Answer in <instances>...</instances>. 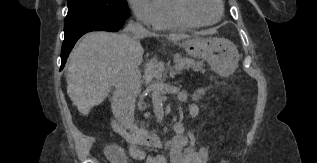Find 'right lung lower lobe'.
Listing matches in <instances>:
<instances>
[{"mask_svg": "<svg viewBox=\"0 0 317 163\" xmlns=\"http://www.w3.org/2000/svg\"><path fill=\"white\" fill-rule=\"evenodd\" d=\"M125 19L121 18H102L96 21L90 22L88 24L82 25L78 28H75L67 33H65V38L62 45L61 51V67L60 70L64 68L67 57L74 47L77 40L87 32L90 31H118L120 27L123 26Z\"/></svg>", "mask_w": 317, "mask_h": 163, "instance_id": "right-lung-lower-lobe-1", "label": "right lung lower lobe"}]
</instances>
